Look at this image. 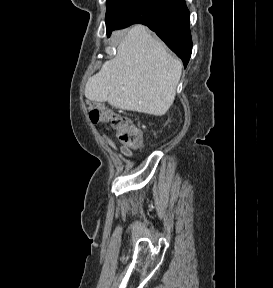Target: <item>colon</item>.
<instances>
[{"label":"colon","mask_w":273,"mask_h":288,"mask_svg":"<svg viewBox=\"0 0 273 288\" xmlns=\"http://www.w3.org/2000/svg\"><path fill=\"white\" fill-rule=\"evenodd\" d=\"M89 117L94 123H109L115 130L118 143L124 148L142 147L143 135L128 117L119 115L105 105L97 103L89 106Z\"/></svg>","instance_id":"5ec220e1"}]
</instances>
